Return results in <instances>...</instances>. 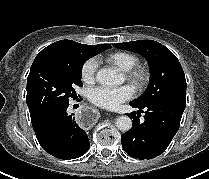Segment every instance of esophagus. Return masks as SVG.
<instances>
[{
  "instance_id": "34e87169",
  "label": "esophagus",
  "mask_w": 209,
  "mask_h": 179,
  "mask_svg": "<svg viewBox=\"0 0 209 179\" xmlns=\"http://www.w3.org/2000/svg\"><path fill=\"white\" fill-rule=\"evenodd\" d=\"M76 121L81 128L91 129L98 124L99 118L92 109H81L77 113Z\"/></svg>"
}]
</instances>
